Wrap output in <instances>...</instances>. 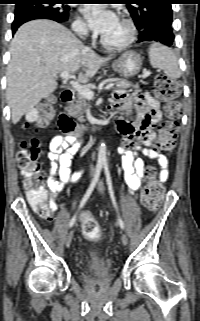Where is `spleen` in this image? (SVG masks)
<instances>
[{
  "label": "spleen",
  "mask_w": 200,
  "mask_h": 321,
  "mask_svg": "<svg viewBox=\"0 0 200 321\" xmlns=\"http://www.w3.org/2000/svg\"><path fill=\"white\" fill-rule=\"evenodd\" d=\"M149 61L153 68H159L171 79L181 76L174 52L160 43H153L148 48Z\"/></svg>",
  "instance_id": "1"
}]
</instances>
